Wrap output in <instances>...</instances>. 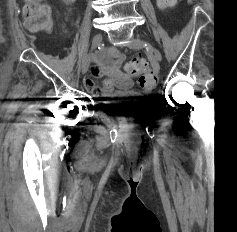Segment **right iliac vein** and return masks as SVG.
<instances>
[{"label": "right iliac vein", "mask_w": 237, "mask_h": 232, "mask_svg": "<svg viewBox=\"0 0 237 232\" xmlns=\"http://www.w3.org/2000/svg\"><path fill=\"white\" fill-rule=\"evenodd\" d=\"M102 42V35L100 33H97L92 40V48H96L99 46ZM91 63V54H88L86 58L84 59V62L82 64V74H85L90 66Z\"/></svg>", "instance_id": "63e3f726"}]
</instances>
